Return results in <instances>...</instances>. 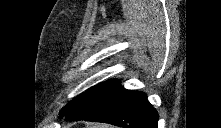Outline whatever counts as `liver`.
Returning a JSON list of instances; mask_svg holds the SVG:
<instances>
[{
    "label": "liver",
    "instance_id": "liver-1",
    "mask_svg": "<svg viewBox=\"0 0 221 128\" xmlns=\"http://www.w3.org/2000/svg\"><path fill=\"white\" fill-rule=\"evenodd\" d=\"M87 128H113V127L107 124L95 123L88 125Z\"/></svg>",
    "mask_w": 221,
    "mask_h": 128
}]
</instances>
